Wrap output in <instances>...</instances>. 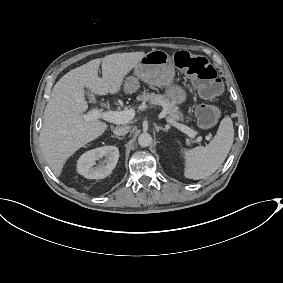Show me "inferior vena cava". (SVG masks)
<instances>
[{
    "instance_id": "inferior-vena-cava-1",
    "label": "inferior vena cava",
    "mask_w": 283,
    "mask_h": 283,
    "mask_svg": "<svg viewBox=\"0 0 283 283\" xmlns=\"http://www.w3.org/2000/svg\"><path fill=\"white\" fill-rule=\"evenodd\" d=\"M130 131V127L129 126H123V127H116L113 130V133L116 135H126L128 132Z\"/></svg>"
}]
</instances>
